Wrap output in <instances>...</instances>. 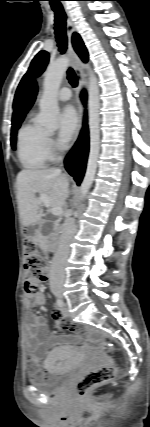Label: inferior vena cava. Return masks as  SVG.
<instances>
[{"instance_id":"1","label":"inferior vena cava","mask_w":150,"mask_h":427,"mask_svg":"<svg viewBox=\"0 0 150 427\" xmlns=\"http://www.w3.org/2000/svg\"><path fill=\"white\" fill-rule=\"evenodd\" d=\"M76 232L75 220L67 217L63 224V235L60 239L58 249L53 257L50 267V286L63 285L65 279V265L70 253V243Z\"/></svg>"}]
</instances>
